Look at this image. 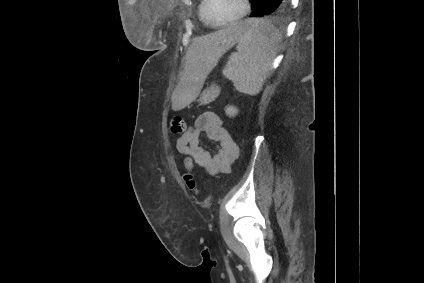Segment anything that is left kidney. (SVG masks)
I'll use <instances>...</instances> for the list:
<instances>
[{"instance_id": "5707ae66", "label": "left kidney", "mask_w": 424, "mask_h": 283, "mask_svg": "<svg viewBox=\"0 0 424 283\" xmlns=\"http://www.w3.org/2000/svg\"><path fill=\"white\" fill-rule=\"evenodd\" d=\"M225 111H226V114L229 115L230 117L235 116L238 113V109H236L233 106L227 107Z\"/></svg>"}]
</instances>
